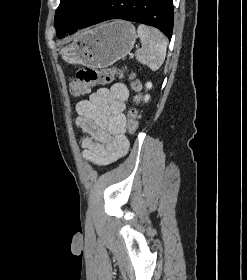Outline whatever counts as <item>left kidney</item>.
Listing matches in <instances>:
<instances>
[{"label":"left kidney","instance_id":"obj_1","mask_svg":"<svg viewBox=\"0 0 247 280\" xmlns=\"http://www.w3.org/2000/svg\"><path fill=\"white\" fill-rule=\"evenodd\" d=\"M146 87H147V89H151L152 83L148 82V83L146 84ZM149 99H150V96H149V95H146L145 98H144L145 102H147Z\"/></svg>","mask_w":247,"mask_h":280}]
</instances>
